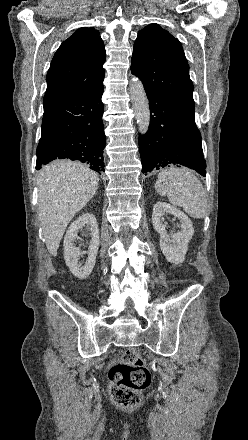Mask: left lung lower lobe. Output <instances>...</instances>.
Returning a JSON list of instances; mask_svg holds the SVG:
<instances>
[{"label": "left lung lower lobe", "mask_w": 248, "mask_h": 440, "mask_svg": "<svg viewBox=\"0 0 248 440\" xmlns=\"http://www.w3.org/2000/svg\"><path fill=\"white\" fill-rule=\"evenodd\" d=\"M145 91L151 117L148 132L139 136L142 173L179 164L206 176L201 134L194 117L159 93Z\"/></svg>", "instance_id": "obj_1"}]
</instances>
